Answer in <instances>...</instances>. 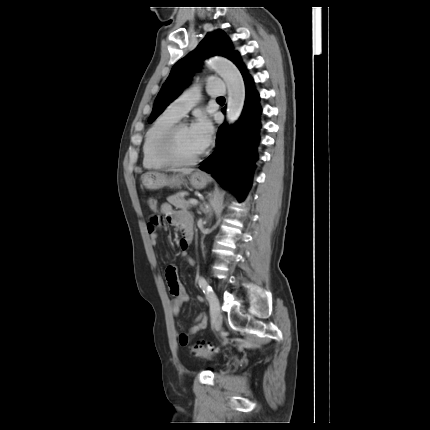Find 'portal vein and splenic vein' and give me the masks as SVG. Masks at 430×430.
Segmentation results:
<instances>
[{"instance_id":"portal-vein-and-splenic-vein-1","label":"portal vein and splenic vein","mask_w":430,"mask_h":430,"mask_svg":"<svg viewBox=\"0 0 430 430\" xmlns=\"http://www.w3.org/2000/svg\"><path fill=\"white\" fill-rule=\"evenodd\" d=\"M189 203L196 205L198 203V201L196 199H189Z\"/></svg>"}]
</instances>
